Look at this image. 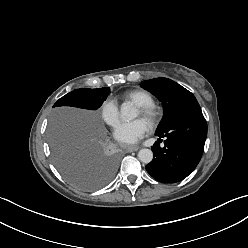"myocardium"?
I'll use <instances>...</instances> for the list:
<instances>
[{"mask_svg":"<svg viewBox=\"0 0 248 248\" xmlns=\"http://www.w3.org/2000/svg\"><path fill=\"white\" fill-rule=\"evenodd\" d=\"M138 110L148 124L155 125L158 122L160 111L155 104L140 105L138 106Z\"/></svg>","mask_w":248,"mask_h":248,"instance_id":"obj_1","label":"myocardium"}]
</instances>
